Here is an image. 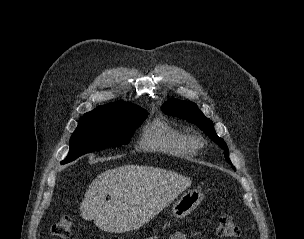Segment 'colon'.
<instances>
[{"label":"colon","instance_id":"1","mask_svg":"<svg viewBox=\"0 0 304 239\" xmlns=\"http://www.w3.org/2000/svg\"><path fill=\"white\" fill-rule=\"evenodd\" d=\"M72 230L73 221L69 216L61 217L51 227L54 239H69ZM217 234L223 239H235L240 235V228L229 215L222 214L217 222Z\"/></svg>","mask_w":304,"mask_h":239}]
</instances>
